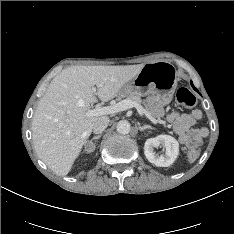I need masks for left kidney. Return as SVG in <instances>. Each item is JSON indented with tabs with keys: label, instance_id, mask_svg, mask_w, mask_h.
<instances>
[{
	"label": "left kidney",
	"instance_id": "5707ae66",
	"mask_svg": "<svg viewBox=\"0 0 234 234\" xmlns=\"http://www.w3.org/2000/svg\"><path fill=\"white\" fill-rule=\"evenodd\" d=\"M165 148V154L155 153L154 148ZM179 153V143L170 135H158L147 139L144 145V154L148 161L159 167H168L174 163Z\"/></svg>",
	"mask_w": 234,
	"mask_h": 234
}]
</instances>
